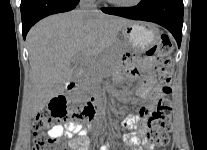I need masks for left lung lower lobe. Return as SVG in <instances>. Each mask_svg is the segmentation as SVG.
I'll list each match as a JSON object with an SVG mask.
<instances>
[{"instance_id":"0a47b994","label":"left lung lower lobe","mask_w":207,"mask_h":150,"mask_svg":"<svg viewBox=\"0 0 207 150\" xmlns=\"http://www.w3.org/2000/svg\"><path fill=\"white\" fill-rule=\"evenodd\" d=\"M102 11L129 19L157 23L172 33L180 47L184 11L182 0H142L134 7L102 8Z\"/></svg>"}]
</instances>
